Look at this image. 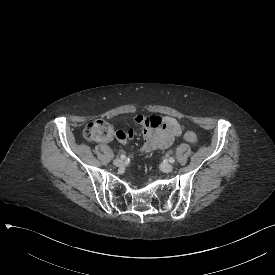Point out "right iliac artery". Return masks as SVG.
Returning a JSON list of instances; mask_svg holds the SVG:
<instances>
[{"label":"right iliac artery","instance_id":"82829eb1","mask_svg":"<svg viewBox=\"0 0 275 275\" xmlns=\"http://www.w3.org/2000/svg\"><path fill=\"white\" fill-rule=\"evenodd\" d=\"M121 158H122V159H125V155H121Z\"/></svg>","mask_w":275,"mask_h":275}]
</instances>
